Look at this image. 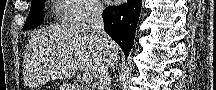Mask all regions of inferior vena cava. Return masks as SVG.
<instances>
[{
  "label": "inferior vena cava",
  "instance_id": "602c4592",
  "mask_svg": "<svg viewBox=\"0 0 216 90\" xmlns=\"http://www.w3.org/2000/svg\"><path fill=\"white\" fill-rule=\"evenodd\" d=\"M104 6L99 4H92L89 8L90 18L87 20L88 30L98 38L100 46V62L98 68L94 72L95 78H98L97 90H111L110 70L113 66L111 58V50L109 46L110 38L105 32L103 22Z\"/></svg>",
  "mask_w": 216,
  "mask_h": 90
}]
</instances>
